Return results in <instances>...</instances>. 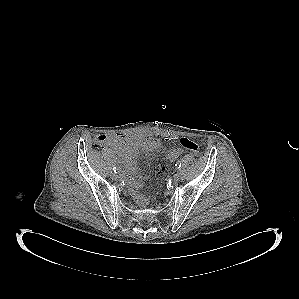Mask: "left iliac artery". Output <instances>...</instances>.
<instances>
[{"mask_svg": "<svg viewBox=\"0 0 299 299\" xmlns=\"http://www.w3.org/2000/svg\"><path fill=\"white\" fill-rule=\"evenodd\" d=\"M175 167L177 168V169H180V167H181V162H176V164H175Z\"/></svg>", "mask_w": 299, "mask_h": 299, "instance_id": "obj_1", "label": "left iliac artery"}]
</instances>
